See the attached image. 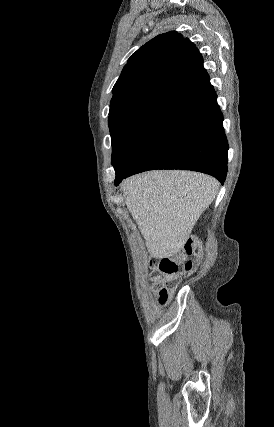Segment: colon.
I'll list each match as a JSON object with an SVG mask.
<instances>
[{
	"label": "colon",
	"instance_id": "colon-1",
	"mask_svg": "<svg viewBox=\"0 0 274 427\" xmlns=\"http://www.w3.org/2000/svg\"><path fill=\"white\" fill-rule=\"evenodd\" d=\"M203 261V247L189 238L183 250L174 255H166L151 264V280L157 291V305L165 307L180 275L197 270Z\"/></svg>",
	"mask_w": 274,
	"mask_h": 427
}]
</instances>
